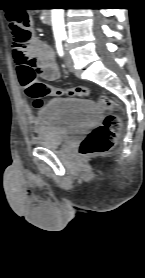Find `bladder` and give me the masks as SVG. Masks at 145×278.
Listing matches in <instances>:
<instances>
[{
    "label": "bladder",
    "mask_w": 145,
    "mask_h": 278,
    "mask_svg": "<svg viewBox=\"0 0 145 278\" xmlns=\"http://www.w3.org/2000/svg\"><path fill=\"white\" fill-rule=\"evenodd\" d=\"M100 118L96 102L83 98L56 97L37 112L33 144L39 148L60 149L70 138L94 126Z\"/></svg>",
    "instance_id": "31cf9c89"
}]
</instances>
